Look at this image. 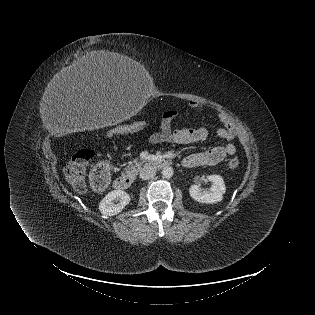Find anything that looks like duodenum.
<instances>
[{"mask_svg": "<svg viewBox=\"0 0 315 315\" xmlns=\"http://www.w3.org/2000/svg\"><path fill=\"white\" fill-rule=\"evenodd\" d=\"M153 163L159 167L164 168L171 164V161L169 159L165 158H156L153 160ZM134 180V175L131 172H126L117 177L114 181V187L118 190H124L131 186Z\"/></svg>", "mask_w": 315, "mask_h": 315, "instance_id": "obj_1", "label": "duodenum"}]
</instances>
